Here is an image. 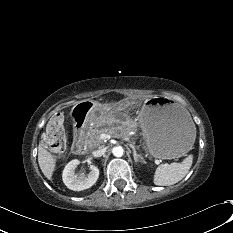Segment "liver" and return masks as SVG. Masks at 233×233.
<instances>
[{
    "label": "liver",
    "mask_w": 233,
    "mask_h": 233,
    "mask_svg": "<svg viewBox=\"0 0 233 233\" xmlns=\"http://www.w3.org/2000/svg\"><path fill=\"white\" fill-rule=\"evenodd\" d=\"M38 163L42 173L47 179H51L56 165V158L43 148L42 141L38 147Z\"/></svg>",
    "instance_id": "obj_1"
}]
</instances>
